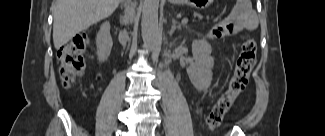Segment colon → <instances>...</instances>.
Segmentation results:
<instances>
[{"label": "colon", "instance_id": "colon-1", "mask_svg": "<svg viewBox=\"0 0 325 136\" xmlns=\"http://www.w3.org/2000/svg\"><path fill=\"white\" fill-rule=\"evenodd\" d=\"M89 44V37L81 34L60 49L57 62L63 86L69 87L82 76L85 69V54ZM256 56L257 44L254 39L246 36L241 45L228 89L220 96L208 114L207 126L210 130H214L222 123L236 98L245 90L251 70L256 63Z\"/></svg>", "mask_w": 325, "mask_h": 136}]
</instances>
